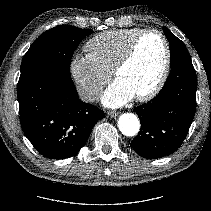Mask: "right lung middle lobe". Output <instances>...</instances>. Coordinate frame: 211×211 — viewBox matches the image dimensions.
Masks as SVG:
<instances>
[{"mask_svg":"<svg viewBox=\"0 0 211 211\" xmlns=\"http://www.w3.org/2000/svg\"><path fill=\"white\" fill-rule=\"evenodd\" d=\"M92 30L70 25L56 26L40 35L24 55L20 78L41 69L70 75V62L81 40Z\"/></svg>","mask_w":211,"mask_h":211,"instance_id":"1","label":"right lung middle lobe"}]
</instances>
